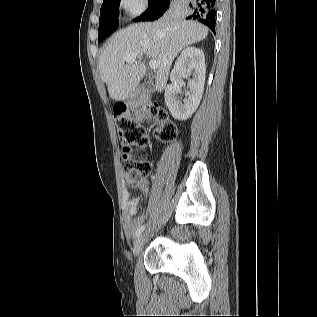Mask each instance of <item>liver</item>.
<instances>
[{
  "instance_id": "obj_1",
  "label": "liver",
  "mask_w": 317,
  "mask_h": 317,
  "mask_svg": "<svg viewBox=\"0 0 317 317\" xmlns=\"http://www.w3.org/2000/svg\"><path fill=\"white\" fill-rule=\"evenodd\" d=\"M207 35L206 26L186 21L179 14H169L153 23L132 24L118 31L99 57L101 79L108 86L110 98L122 101L137 89L146 74V66L141 62L143 55L157 61L155 89L163 91L174 58L183 48ZM129 53L137 54L139 61L127 63L124 57Z\"/></svg>"
}]
</instances>
